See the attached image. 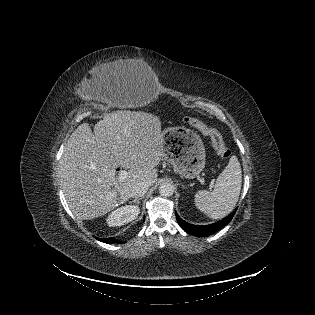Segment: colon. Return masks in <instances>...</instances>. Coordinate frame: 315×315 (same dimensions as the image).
<instances>
[{"label": "colon", "instance_id": "colon-1", "mask_svg": "<svg viewBox=\"0 0 315 315\" xmlns=\"http://www.w3.org/2000/svg\"><path fill=\"white\" fill-rule=\"evenodd\" d=\"M185 121L211 141V144L220 159L224 160L229 158L231 152L226 146L222 135L216 129L208 127L201 120L194 117H186Z\"/></svg>", "mask_w": 315, "mask_h": 315}]
</instances>
